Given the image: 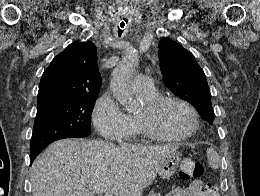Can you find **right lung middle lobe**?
Listing matches in <instances>:
<instances>
[{
  "instance_id": "dd1d6c3e",
  "label": "right lung middle lobe",
  "mask_w": 260,
  "mask_h": 196,
  "mask_svg": "<svg viewBox=\"0 0 260 196\" xmlns=\"http://www.w3.org/2000/svg\"><path fill=\"white\" fill-rule=\"evenodd\" d=\"M97 94L60 99L37 108L30 152L64 138L87 137Z\"/></svg>"
}]
</instances>
